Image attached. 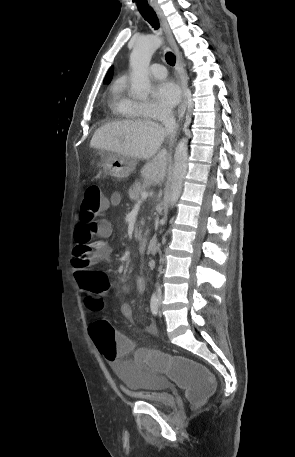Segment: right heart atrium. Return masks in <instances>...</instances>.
<instances>
[{"instance_id": "obj_1", "label": "right heart atrium", "mask_w": 295, "mask_h": 457, "mask_svg": "<svg viewBox=\"0 0 295 457\" xmlns=\"http://www.w3.org/2000/svg\"><path fill=\"white\" fill-rule=\"evenodd\" d=\"M140 116L150 119H162L170 115V110L153 102H137Z\"/></svg>"}]
</instances>
